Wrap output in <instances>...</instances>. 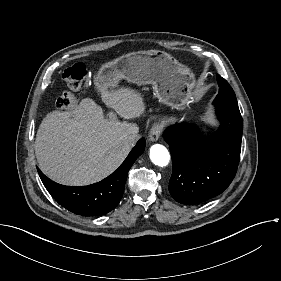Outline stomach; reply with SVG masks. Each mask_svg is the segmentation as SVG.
<instances>
[{"mask_svg": "<svg viewBox=\"0 0 281 281\" xmlns=\"http://www.w3.org/2000/svg\"><path fill=\"white\" fill-rule=\"evenodd\" d=\"M122 79L139 86L151 84L155 97L176 109L193 102L194 73L164 51H140L116 58L102 65L94 84L100 93L113 92Z\"/></svg>", "mask_w": 281, "mask_h": 281, "instance_id": "obj_1", "label": "stomach"}]
</instances>
